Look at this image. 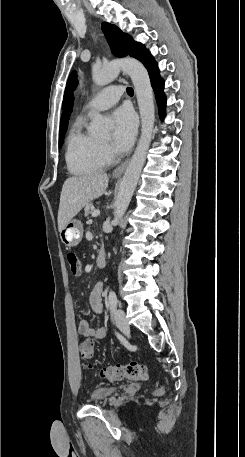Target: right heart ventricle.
<instances>
[{"instance_id":"e07e8e85","label":"right heart ventricle","mask_w":245,"mask_h":457,"mask_svg":"<svg viewBox=\"0 0 245 457\" xmlns=\"http://www.w3.org/2000/svg\"><path fill=\"white\" fill-rule=\"evenodd\" d=\"M67 144V159L73 171L100 170L108 163L99 140L86 130L82 121H76L71 125Z\"/></svg>"}]
</instances>
